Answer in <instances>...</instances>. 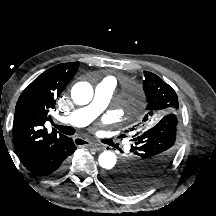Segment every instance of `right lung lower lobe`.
I'll list each match as a JSON object with an SVG mask.
<instances>
[{
	"mask_svg": "<svg viewBox=\"0 0 216 216\" xmlns=\"http://www.w3.org/2000/svg\"><path fill=\"white\" fill-rule=\"evenodd\" d=\"M76 150L71 138L58 140L45 150L32 163L25 166L27 170L39 176H52L61 171L68 156Z\"/></svg>",
	"mask_w": 216,
	"mask_h": 216,
	"instance_id": "1",
	"label": "right lung lower lobe"
}]
</instances>
